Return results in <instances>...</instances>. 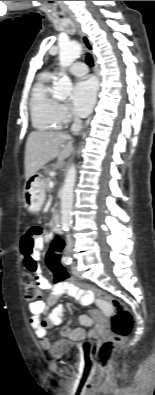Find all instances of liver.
<instances>
[{"mask_svg":"<svg viewBox=\"0 0 155 395\" xmlns=\"http://www.w3.org/2000/svg\"><path fill=\"white\" fill-rule=\"evenodd\" d=\"M73 151V141L64 132L33 131L25 148V179L28 181L48 162L58 158L63 161Z\"/></svg>","mask_w":155,"mask_h":395,"instance_id":"liver-1","label":"liver"}]
</instances>
